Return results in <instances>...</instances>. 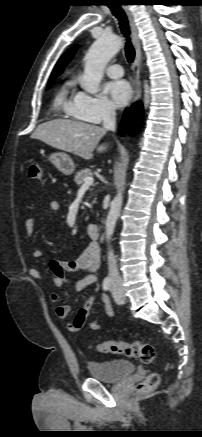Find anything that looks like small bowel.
Here are the masks:
<instances>
[{
    "mask_svg": "<svg viewBox=\"0 0 202 437\" xmlns=\"http://www.w3.org/2000/svg\"><path fill=\"white\" fill-rule=\"evenodd\" d=\"M60 209V203L56 200L49 202L45 212H56ZM37 216H32L28 218L25 222V231L27 236H31L34 231V226L37 220ZM32 256L34 258H39L42 256V251L40 249H34L32 251ZM100 263L99 249L95 244H90L85 251L73 261H62V260H52L50 262V270L53 273V283L56 287L62 288L70 283L68 278V273L80 272L84 273L85 276L75 283V290L81 291L86 287H92L94 293L88 297L84 302L82 307L78 310L73 320L68 322L67 327L71 332L79 331L86 319L90 316L92 306L95 302L96 296L98 294L99 279L97 275V270ZM31 277L37 281L44 280L43 272L37 267H32L29 270ZM51 298L54 302L58 301L57 294L53 293ZM100 298L104 304L105 312L108 316H113L114 312L110 304V300L106 294L100 293ZM71 309L67 304H60L56 306L55 313L61 320H67L70 315ZM90 328L92 330H100L102 328V323L99 318L94 319L90 322Z\"/></svg>",
    "mask_w": 202,
    "mask_h": 437,
    "instance_id": "c3829d8e",
    "label": "small bowel"
}]
</instances>
